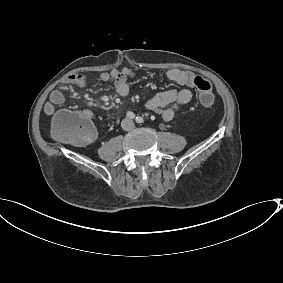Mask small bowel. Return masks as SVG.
Listing matches in <instances>:
<instances>
[{
    "label": "small bowel",
    "instance_id": "obj_1",
    "mask_svg": "<svg viewBox=\"0 0 283 283\" xmlns=\"http://www.w3.org/2000/svg\"><path fill=\"white\" fill-rule=\"evenodd\" d=\"M166 78L179 86L181 89H170L158 92L152 95L145 103L147 110L155 112L161 118L170 122L174 119L178 109L188 104L192 99V88L195 87V75L189 71L172 68L166 71ZM135 76V72L129 67L114 69L111 72H103L99 78L102 82L111 81L118 95L125 97L129 93V80ZM64 83L78 87H84L87 84V77L82 74L68 76ZM65 97L62 91L53 90L50 94L49 101L44 106V112L48 116L54 115L55 107L64 103ZM83 114L91 118L92 113L84 110Z\"/></svg>",
    "mask_w": 283,
    "mask_h": 283
}]
</instances>
